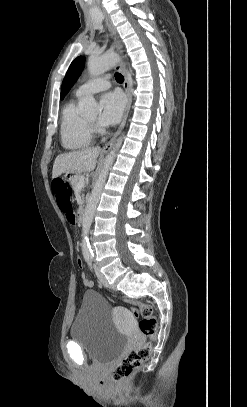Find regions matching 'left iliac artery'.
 <instances>
[{
	"instance_id": "left-iliac-artery-1",
	"label": "left iliac artery",
	"mask_w": 247,
	"mask_h": 407,
	"mask_svg": "<svg viewBox=\"0 0 247 407\" xmlns=\"http://www.w3.org/2000/svg\"><path fill=\"white\" fill-rule=\"evenodd\" d=\"M90 259L92 260V259H93V256H90Z\"/></svg>"
}]
</instances>
